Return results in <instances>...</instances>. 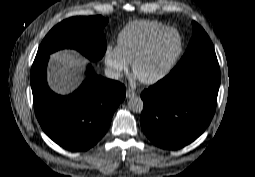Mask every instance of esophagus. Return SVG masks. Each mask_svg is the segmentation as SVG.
Instances as JSON below:
<instances>
[{
	"label": "esophagus",
	"instance_id": "34e87169",
	"mask_svg": "<svg viewBox=\"0 0 255 177\" xmlns=\"http://www.w3.org/2000/svg\"><path fill=\"white\" fill-rule=\"evenodd\" d=\"M137 94H136V92L134 91V90H132V89H127V91H126V97L127 98H131V97H134V96H136Z\"/></svg>",
	"mask_w": 255,
	"mask_h": 177
}]
</instances>
